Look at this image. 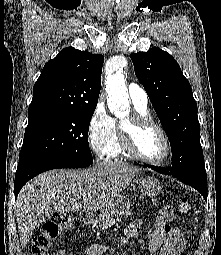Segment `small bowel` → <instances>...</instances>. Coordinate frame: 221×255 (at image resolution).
I'll return each instance as SVG.
<instances>
[{"instance_id":"1","label":"small bowel","mask_w":221,"mask_h":255,"mask_svg":"<svg viewBox=\"0 0 221 255\" xmlns=\"http://www.w3.org/2000/svg\"><path fill=\"white\" fill-rule=\"evenodd\" d=\"M142 223L135 220L124 229V235L132 238L139 235ZM146 243L150 255H183L186 241L181 237L177 228L168 226L166 231L154 230L146 236ZM108 247L104 243H95L86 248L84 255H105Z\"/></svg>"}]
</instances>
